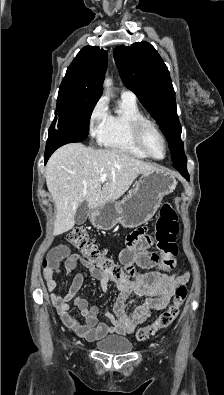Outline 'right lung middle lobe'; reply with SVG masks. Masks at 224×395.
<instances>
[{"mask_svg":"<svg viewBox=\"0 0 224 395\" xmlns=\"http://www.w3.org/2000/svg\"><path fill=\"white\" fill-rule=\"evenodd\" d=\"M99 98V95L60 86L55 119L49 128V135L85 140L89 133L91 113Z\"/></svg>","mask_w":224,"mask_h":395,"instance_id":"1","label":"right lung middle lobe"}]
</instances>
